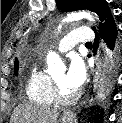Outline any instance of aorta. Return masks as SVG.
<instances>
[{
	"instance_id": "1",
	"label": "aorta",
	"mask_w": 122,
	"mask_h": 123,
	"mask_svg": "<svg viewBox=\"0 0 122 123\" xmlns=\"http://www.w3.org/2000/svg\"><path fill=\"white\" fill-rule=\"evenodd\" d=\"M82 18H86L90 22H95L94 17L90 14V12L80 11V12H74V13L69 14L66 18L62 20V23L77 21ZM59 28H61V25H59ZM47 65H48L49 72H53L56 69L63 67L62 60L60 59L59 55L56 54L55 52L48 53ZM96 74H98V72Z\"/></svg>"
}]
</instances>
